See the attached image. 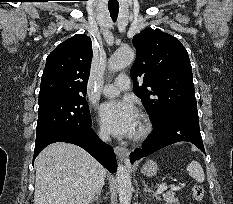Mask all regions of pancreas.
I'll list each match as a JSON object with an SVG mask.
<instances>
[{"label":"pancreas","mask_w":233,"mask_h":204,"mask_svg":"<svg viewBox=\"0 0 233 204\" xmlns=\"http://www.w3.org/2000/svg\"><path fill=\"white\" fill-rule=\"evenodd\" d=\"M162 197L166 201V204H179L178 198L175 197V193L173 191L162 193Z\"/></svg>","instance_id":"obj_1"}]
</instances>
